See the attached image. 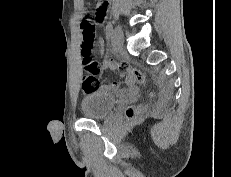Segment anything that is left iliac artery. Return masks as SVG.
<instances>
[{"label":"left iliac artery","instance_id":"left-iliac-artery-1","mask_svg":"<svg viewBox=\"0 0 231 177\" xmlns=\"http://www.w3.org/2000/svg\"><path fill=\"white\" fill-rule=\"evenodd\" d=\"M113 34V25L111 22H108L106 25V35L109 38Z\"/></svg>","mask_w":231,"mask_h":177}]
</instances>
